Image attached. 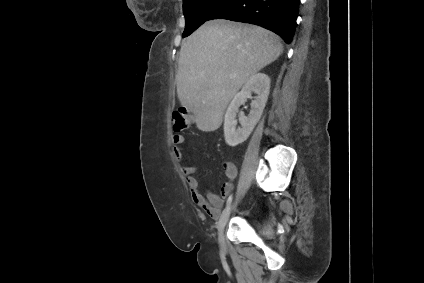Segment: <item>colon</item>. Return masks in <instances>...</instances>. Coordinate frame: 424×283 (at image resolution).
Here are the masks:
<instances>
[{
  "label": "colon",
  "instance_id": "obj_1",
  "mask_svg": "<svg viewBox=\"0 0 424 283\" xmlns=\"http://www.w3.org/2000/svg\"><path fill=\"white\" fill-rule=\"evenodd\" d=\"M189 126V118L184 107L175 110L172 114V128L176 133L183 132Z\"/></svg>",
  "mask_w": 424,
  "mask_h": 283
}]
</instances>
